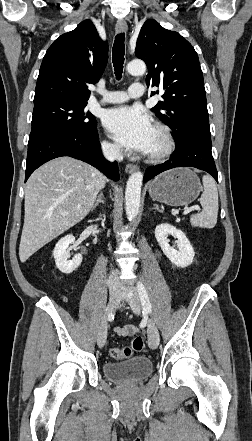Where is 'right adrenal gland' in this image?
Wrapping results in <instances>:
<instances>
[{"label":"right adrenal gland","mask_w":252,"mask_h":441,"mask_svg":"<svg viewBox=\"0 0 252 441\" xmlns=\"http://www.w3.org/2000/svg\"><path fill=\"white\" fill-rule=\"evenodd\" d=\"M103 193H100V195L98 196V199L96 200V203L94 204V206L92 207V211L96 209V207L101 203L104 204V200H103Z\"/></svg>","instance_id":"right-adrenal-gland-1"}]
</instances>
